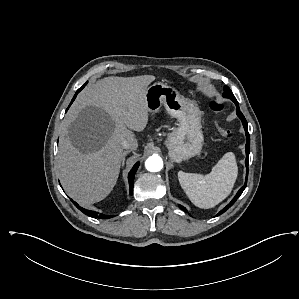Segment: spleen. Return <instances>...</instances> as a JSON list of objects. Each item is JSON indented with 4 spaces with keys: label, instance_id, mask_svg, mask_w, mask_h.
<instances>
[{
    "label": "spleen",
    "instance_id": "obj_1",
    "mask_svg": "<svg viewBox=\"0 0 299 299\" xmlns=\"http://www.w3.org/2000/svg\"><path fill=\"white\" fill-rule=\"evenodd\" d=\"M238 175L235 155L228 152L209 174L178 172V180L191 202L209 209L222 202L231 193Z\"/></svg>",
    "mask_w": 299,
    "mask_h": 299
}]
</instances>
